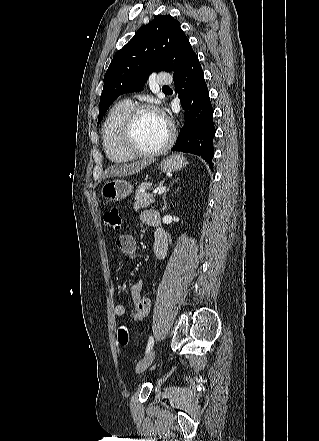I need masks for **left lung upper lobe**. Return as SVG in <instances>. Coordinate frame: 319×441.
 Returning a JSON list of instances; mask_svg holds the SVG:
<instances>
[{
	"label": "left lung upper lobe",
	"instance_id": "1",
	"mask_svg": "<svg viewBox=\"0 0 319 441\" xmlns=\"http://www.w3.org/2000/svg\"><path fill=\"white\" fill-rule=\"evenodd\" d=\"M195 55L179 22L170 15L157 16L113 57L104 76L98 123L121 94L142 90L152 71L173 70L176 76Z\"/></svg>",
	"mask_w": 319,
	"mask_h": 441
}]
</instances>
